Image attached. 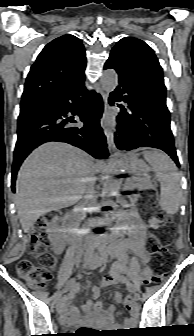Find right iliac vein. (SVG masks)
Returning a JSON list of instances; mask_svg holds the SVG:
<instances>
[{"mask_svg":"<svg viewBox=\"0 0 194 336\" xmlns=\"http://www.w3.org/2000/svg\"><path fill=\"white\" fill-rule=\"evenodd\" d=\"M61 302L60 301H58V304H57V309H60L61 308Z\"/></svg>","mask_w":194,"mask_h":336,"instance_id":"1","label":"right iliac vein"}]
</instances>
